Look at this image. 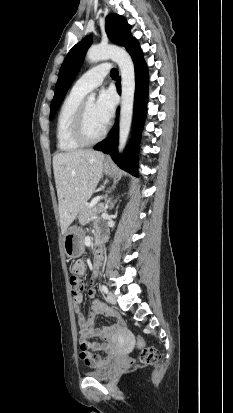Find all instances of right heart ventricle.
<instances>
[{"instance_id":"obj_1","label":"right heart ventricle","mask_w":233,"mask_h":413,"mask_svg":"<svg viewBox=\"0 0 233 413\" xmlns=\"http://www.w3.org/2000/svg\"><path fill=\"white\" fill-rule=\"evenodd\" d=\"M84 96L85 93L72 88L60 107L56 122V142L62 152H73L83 146L74 139L72 125Z\"/></svg>"}]
</instances>
